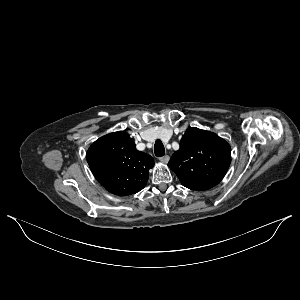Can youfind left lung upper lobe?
Instances as JSON below:
<instances>
[{
    "label": "left lung upper lobe",
    "mask_w": 300,
    "mask_h": 300,
    "mask_svg": "<svg viewBox=\"0 0 300 300\" xmlns=\"http://www.w3.org/2000/svg\"><path fill=\"white\" fill-rule=\"evenodd\" d=\"M231 161L229 144L215 133L188 128L180 141V149L172 155L168 166L183 186L204 191L217 185L225 176Z\"/></svg>",
    "instance_id": "left-lung-upper-lobe-1"
}]
</instances>
